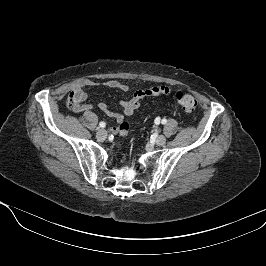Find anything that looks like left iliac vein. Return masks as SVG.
Segmentation results:
<instances>
[{
  "label": "left iliac vein",
  "mask_w": 266,
  "mask_h": 266,
  "mask_svg": "<svg viewBox=\"0 0 266 266\" xmlns=\"http://www.w3.org/2000/svg\"><path fill=\"white\" fill-rule=\"evenodd\" d=\"M155 142H156V144H157L158 146H163V145L166 143V138H165V136H163V135H159V136L156 138Z\"/></svg>",
  "instance_id": "1"
}]
</instances>
